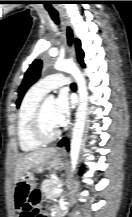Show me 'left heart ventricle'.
I'll list each match as a JSON object with an SVG mask.
<instances>
[{
    "label": "left heart ventricle",
    "instance_id": "b2bd125f",
    "mask_svg": "<svg viewBox=\"0 0 132 217\" xmlns=\"http://www.w3.org/2000/svg\"><path fill=\"white\" fill-rule=\"evenodd\" d=\"M53 108H54V100L53 99H47L44 107V113H43V125L45 130L48 133H52L57 129V126L54 123L53 120Z\"/></svg>",
    "mask_w": 132,
    "mask_h": 217
}]
</instances>
